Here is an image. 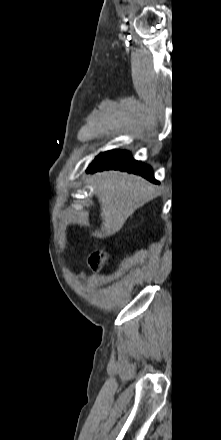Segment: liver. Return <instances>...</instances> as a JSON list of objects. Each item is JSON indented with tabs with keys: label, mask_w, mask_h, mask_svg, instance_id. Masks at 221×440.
Masks as SVG:
<instances>
[{
	"label": "liver",
	"mask_w": 221,
	"mask_h": 440,
	"mask_svg": "<svg viewBox=\"0 0 221 440\" xmlns=\"http://www.w3.org/2000/svg\"><path fill=\"white\" fill-rule=\"evenodd\" d=\"M95 195L100 203L101 230L94 235L104 238L118 232L134 211L151 200L157 187L140 176L105 171L93 176Z\"/></svg>",
	"instance_id": "liver-1"
}]
</instances>
